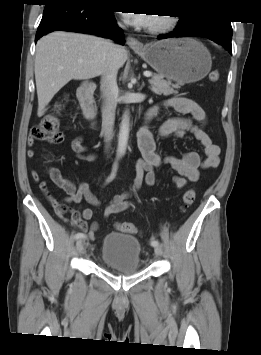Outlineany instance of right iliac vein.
<instances>
[{
  "label": "right iliac vein",
  "instance_id": "63e3f726",
  "mask_svg": "<svg viewBox=\"0 0 261 355\" xmlns=\"http://www.w3.org/2000/svg\"><path fill=\"white\" fill-rule=\"evenodd\" d=\"M76 249H77V252H78V253L83 252V250H84V245H83L82 240H78V241H77V243H76Z\"/></svg>",
  "mask_w": 261,
  "mask_h": 355
}]
</instances>
